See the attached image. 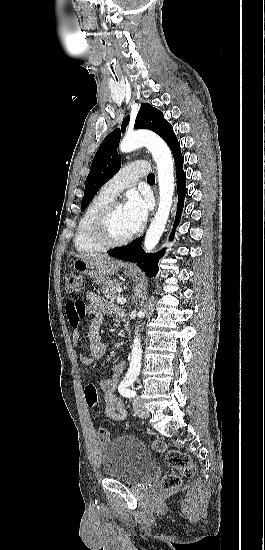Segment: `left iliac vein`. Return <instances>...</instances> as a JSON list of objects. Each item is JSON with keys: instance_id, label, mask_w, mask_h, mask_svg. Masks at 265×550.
<instances>
[{"instance_id": "left-iliac-vein-1", "label": "left iliac vein", "mask_w": 265, "mask_h": 550, "mask_svg": "<svg viewBox=\"0 0 265 550\" xmlns=\"http://www.w3.org/2000/svg\"><path fill=\"white\" fill-rule=\"evenodd\" d=\"M133 409L140 418L149 417V411L144 407L139 396H136L133 399Z\"/></svg>"}]
</instances>
